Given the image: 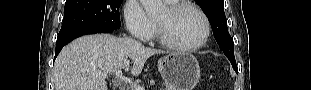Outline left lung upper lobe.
Listing matches in <instances>:
<instances>
[{
  "mask_svg": "<svg viewBox=\"0 0 311 90\" xmlns=\"http://www.w3.org/2000/svg\"><path fill=\"white\" fill-rule=\"evenodd\" d=\"M201 9L208 17L214 37L230 62H235L234 42L227 29L223 0H197Z\"/></svg>",
  "mask_w": 311,
  "mask_h": 90,
  "instance_id": "obj_1",
  "label": "left lung upper lobe"
}]
</instances>
